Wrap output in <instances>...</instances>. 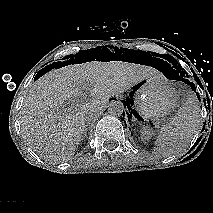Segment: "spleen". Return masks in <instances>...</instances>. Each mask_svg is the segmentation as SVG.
<instances>
[{"mask_svg": "<svg viewBox=\"0 0 213 213\" xmlns=\"http://www.w3.org/2000/svg\"><path fill=\"white\" fill-rule=\"evenodd\" d=\"M201 127L200 106L194 94L181 105L175 116L160 129L158 148L165 154H173L185 148Z\"/></svg>", "mask_w": 213, "mask_h": 213, "instance_id": "spleen-1", "label": "spleen"}]
</instances>
